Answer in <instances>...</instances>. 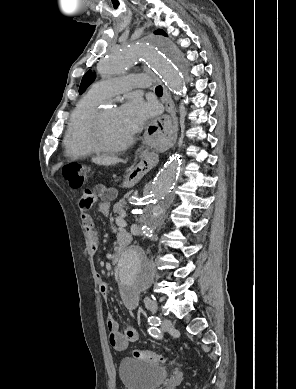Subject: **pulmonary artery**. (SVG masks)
<instances>
[{"mask_svg":"<svg viewBox=\"0 0 296 389\" xmlns=\"http://www.w3.org/2000/svg\"><path fill=\"white\" fill-rule=\"evenodd\" d=\"M149 83L150 78L146 75H128L96 82L92 85L90 91L102 98H108L133 88L148 87Z\"/></svg>","mask_w":296,"mask_h":389,"instance_id":"1","label":"pulmonary artery"}]
</instances>
